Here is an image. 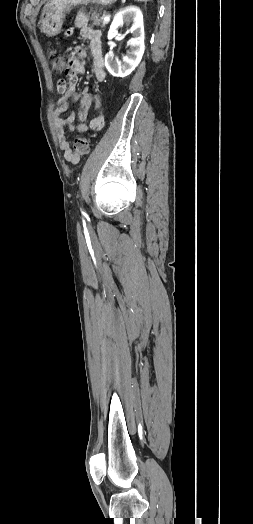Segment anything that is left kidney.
I'll use <instances>...</instances> for the list:
<instances>
[{
	"label": "left kidney",
	"instance_id": "left-kidney-1",
	"mask_svg": "<svg viewBox=\"0 0 253 524\" xmlns=\"http://www.w3.org/2000/svg\"><path fill=\"white\" fill-rule=\"evenodd\" d=\"M124 23L131 26L128 31L133 34V39L130 41L131 51L123 57L122 62L116 60L112 52L105 55V66L115 77L131 74L140 63L145 50L143 15L137 7H127L115 15L108 31V39L114 38L118 34V28Z\"/></svg>",
	"mask_w": 253,
	"mask_h": 524
}]
</instances>
